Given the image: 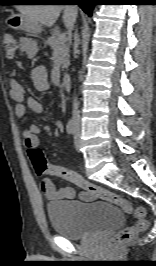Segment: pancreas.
<instances>
[{
  "label": "pancreas",
  "instance_id": "obj_1",
  "mask_svg": "<svg viewBox=\"0 0 156 266\" xmlns=\"http://www.w3.org/2000/svg\"><path fill=\"white\" fill-rule=\"evenodd\" d=\"M67 42L68 39H62L59 33H54L47 40V44L58 55L63 70L69 66V47L67 46Z\"/></svg>",
  "mask_w": 156,
  "mask_h": 266
}]
</instances>
